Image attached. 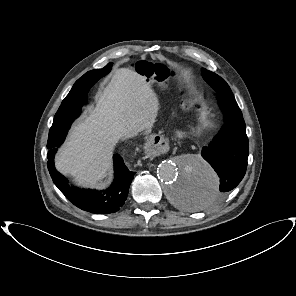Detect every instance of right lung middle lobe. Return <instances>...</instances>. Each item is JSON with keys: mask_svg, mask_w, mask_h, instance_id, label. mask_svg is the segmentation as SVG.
<instances>
[{"mask_svg": "<svg viewBox=\"0 0 296 296\" xmlns=\"http://www.w3.org/2000/svg\"><path fill=\"white\" fill-rule=\"evenodd\" d=\"M111 67L112 63H109L102 69H95L87 72L78 81H76L55 115L49 132L47 147L51 146L59 139H64L71 123L80 115L81 107L86 102V96L89 89L83 91L81 89L82 85L79 83L89 77H98L100 79L109 73Z\"/></svg>", "mask_w": 296, "mask_h": 296, "instance_id": "obj_1", "label": "right lung middle lobe"}]
</instances>
